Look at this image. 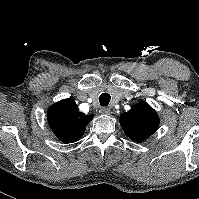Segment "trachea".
<instances>
[{
	"label": "trachea",
	"instance_id": "trachea-1",
	"mask_svg": "<svg viewBox=\"0 0 199 199\" xmlns=\"http://www.w3.org/2000/svg\"><path fill=\"white\" fill-rule=\"evenodd\" d=\"M111 96L108 93H102L99 97V102L101 106H108L109 102H110Z\"/></svg>",
	"mask_w": 199,
	"mask_h": 199
}]
</instances>
